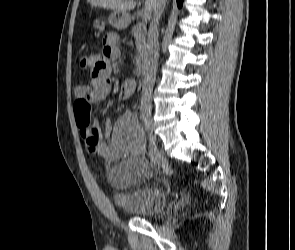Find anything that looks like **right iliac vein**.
<instances>
[{"label":"right iliac vein","mask_w":295,"mask_h":250,"mask_svg":"<svg viewBox=\"0 0 295 250\" xmlns=\"http://www.w3.org/2000/svg\"><path fill=\"white\" fill-rule=\"evenodd\" d=\"M143 120H144V127H145L147 133L149 134L150 140L153 143V147L155 148L154 154H155L156 158L158 159V162H161L163 159V156L158 151V148L156 145L157 137L153 133V123L148 117H145Z\"/></svg>","instance_id":"obj_1"}]
</instances>
